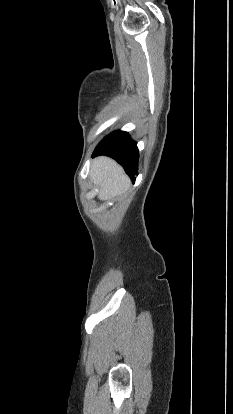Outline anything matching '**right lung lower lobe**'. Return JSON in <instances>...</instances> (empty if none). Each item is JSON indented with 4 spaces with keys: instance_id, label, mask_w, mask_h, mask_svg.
<instances>
[{
    "instance_id": "obj_1",
    "label": "right lung lower lobe",
    "mask_w": 233,
    "mask_h": 414,
    "mask_svg": "<svg viewBox=\"0 0 233 414\" xmlns=\"http://www.w3.org/2000/svg\"><path fill=\"white\" fill-rule=\"evenodd\" d=\"M107 155L121 164L132 181L137 174L139 151L127 132L115 131L106 136L93 152V157Z\"/></svg>"
}]
</instances>
